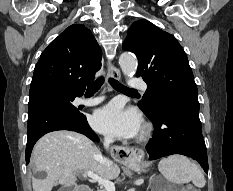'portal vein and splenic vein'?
I'll use <instances>...</instances> for the list:
<instances>
[{
	"mask_svg": "<svg viewBox=\"0 0 233 191\" xmlns=\"http://www.w3.org/2000/svg\"><path fill=\"white\" fill-rule=\"evenodd\" d=\"M84 173L88 177H90L92 180L98 182L99 185H102L106 191H115V186L111 181L100 177L98 174H96L92 171H84Z\"/></svg>",
	"mask_w": 233,
	"mask_h": 191,
	"instance_id": "obj_1",
	"label": "portal vein and splenic vein"
}]
</instances>
